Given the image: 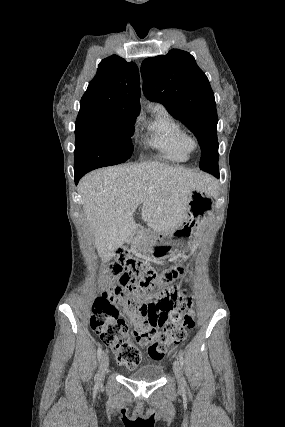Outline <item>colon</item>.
Returning a JSON list of instances; mask_svg holds the SVG:
<instances>
[{"mask_svg": "<svg viewBox=\"0 0 285 427\" xmlns=\"http://www.w3.org/2000/svg\"><path fill=\"white\" fill-rule=\"evenodd\" d=\"M113 271L120 277L123 286L137 291L136 297L126 299L117 289H105L92 306L89 317L91 329L116 353L118 363L128 368H135L141 360V353L127 334L125 320L117 316L116 305L126 308L135 307L138 314L134 315L131 321L136 341L142 346L152 343L147 348L150 357L157 361L161 360L169 344L183 342L187 337V330L194 328L195 322L190 309L192 301L190 298L176 299L172 303L166 324L160 332L144 321L143 312L164 295L162 290L151 291L150 289L157 287L161 280L171 285L181 269L173 268L160 274L127 253L119 251Z\"/></svg>", "mask_w": 285, "mask_h": 427, "instance_id": "colon-1", "label": "colon"}]
</instances>
